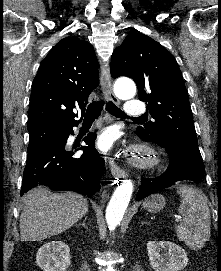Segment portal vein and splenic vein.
<instances>
[{
    "instance_id": "portal-vein-and-splenic-vein-1",
    "label": "portal vein and splenic vein",
    "mask_w": 221,
    "mask_h": 271,
    "mask_svg": "<svg viewBox=\"0 0 221 271\" xmlns=\"http://www.w3.org/2000/svg\"><path fill=\"white\" fill-rule=\"evenodd\" d=\"M172 217H173V218H177V219H175V221H179V219H180L178 213H173V214H172Z\"/></svg>"
}]
</instances>
